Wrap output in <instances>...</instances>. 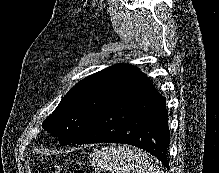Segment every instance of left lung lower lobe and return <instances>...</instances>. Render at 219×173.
Instances as JSON below:
<instances>
[{
	"instance_id": "obj_1",
	"label": "left lung lower lobe",
	"mask_w": 219,
	"mask_h": 173,
	"mask_svg": "<svg viewBox=\"0 0 219 173\" xmlns=\"http://www.w3.org/2000/svg\"><path fill=\"white\" fill-rule=\"evenodd\" d=\"M122 143L142 148L169 169L165 98L142 72L107 103L73 144Z\"/></svg>"
}]
</instances>
